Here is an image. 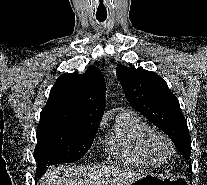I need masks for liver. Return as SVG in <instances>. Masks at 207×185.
I'll return each instance as SVG.
<instances>
[{"label":"liver","instance_id":"obj_1","mask_svg":"<svg viewBox=\"0 0 207 185\" xmlns=\"http://www.w3.org/2000/svg\"><path fill=\"white\" fill-rule=\"evenodd\" d=\"M57 171H62V169H57ZM57 171L46 173V177H42L40 185H81L83 183V179L74 177V175H70L68 179L67 177H57Z\"/></svg>","mask_w":207,"mask_h":185}]
</instances>
